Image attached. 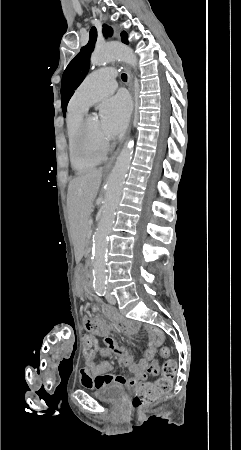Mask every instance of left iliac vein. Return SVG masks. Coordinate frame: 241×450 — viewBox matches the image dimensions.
<instances>
[{"label":"left iliac vein","instance_id":"1","mask_svg":"<svg viewBox=\"0 0 241 450\" xmlns=\"http://www.w3.org/2000/svg\"><path fill=\"white\" fill-rule=\"evenodd\" d=\"M106 299L109 303L111 304H115L116 303V299L114 296H112V294L110 292H107L106 294Z\"/></svg>","mask_w":241,"mask_h":450}]
</instances>
